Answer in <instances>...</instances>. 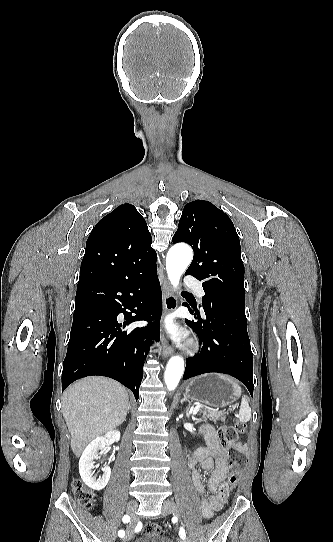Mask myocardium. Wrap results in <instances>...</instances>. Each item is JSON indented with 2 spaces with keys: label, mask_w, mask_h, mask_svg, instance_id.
<instances>
[{
  "label": "myocardium",
  "mask_w": 333,
  "mask_h": 542,
  "mask_svg": "<svg viewBox=\"0 0 333 542\" xmlns=\"http://www.w3.org/2000/svg\"><path fill=\"white\" fill-rule=\"evenodd\" d=\"M195 347H196L195 343L193 341H189L187 343L186 349L188 352H193L195 350Z\"/></svg>",
  "instance_id": "obj_1"
}]
</instances>
